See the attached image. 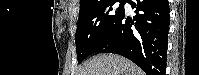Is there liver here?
I'll list each match as a JSON object with an SVG mask.
<instances>
[{"instance_id": "6515ba94", "label": "liver", "mask_w": 199, "mask_h": 75, "mask_svg": "<svg viewBox=\"0 0 199 75\" xmlns=\"http://www.w3.org/2000/svg\"><path fill=\"white\" fill-rule=\"evenodd\" d=\"M76 75H144V72L122 56L101 54L87 61Z\"/></svg>"}]
</instances>
